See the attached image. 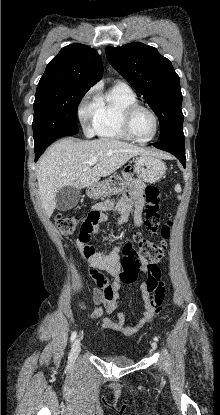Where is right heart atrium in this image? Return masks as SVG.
Instances as JSON below:
<instances>
[{
  "mask_svg": "<svg viewBox=\"0 0 220 415\" xmlns=\"http://www.w3.org/2000/svg\"><path fill=\"white\" fill-rule=\"evenodd\" d=\"M97 105L96 99H91L89 93L81 102L78 108V116L84 131L91 134L94 130V120L96 115Z\"/></svg>",
  "mask_w": 220,
  "mask_h": 415,
  "instance_id": "1",
  "label": "right heart atrium"
}]
</instances>
